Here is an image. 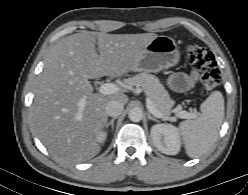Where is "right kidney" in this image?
Listing matches in <instances>:
<instances>
[{"instance_id":"1","label":"right kidney","mask_w":248,"mask_h":195,"mask_svg":"<svg viewBox=\"0 0 248 195\" xmlns=\"http://www.w3.org/2000/svg\"><path fill=\"white\" fill-rule=\"evenodd\" d=\"M106 132L105 131H100L97 135H96V140L98 143H103L104 140L106 139Z\"/></svg>"}]
</instances>
